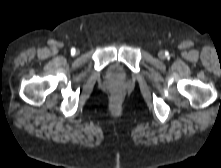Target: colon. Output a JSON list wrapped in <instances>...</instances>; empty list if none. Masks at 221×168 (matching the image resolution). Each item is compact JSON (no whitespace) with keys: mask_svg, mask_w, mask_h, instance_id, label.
<instances>
[{"mask_svg":"<svg viewBox=\"0 0 221 168\" xmlns=\"http://www.w3.org/2000/svg\"><path fill=\"white\" fill-rule=\"evenodd\" d=\"M114 97H115V99H119L120 98V94L117 92V93H115Z\"/></svg>","mask_w":221,"mask_h":168,"instance_id":"5ec220e1","label":"colon"}]
</instances>
